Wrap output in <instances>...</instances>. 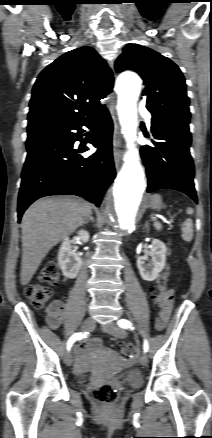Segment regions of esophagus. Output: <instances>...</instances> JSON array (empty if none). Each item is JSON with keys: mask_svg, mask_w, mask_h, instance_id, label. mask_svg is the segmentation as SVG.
Masks as SVG:
<instances>
[{"mask_svg": "<svg viewBox=\"0 0 212 438\" xmlns=\"http://www.w3.org/2000/svg\"><path fill=\"white\" fill-rule=\"evenodd\" d=\"M110 114L112 116L113 122H114V134H113V140H114V149H113V157L115 162L116 169L120 166L121 156L122 153L117 145V140L119 137V127L116 119V112H115V105L114 102L109 107Z\"/></svg>", "mask_w": 212, "mask_h": 438, "instance_id": "1", "label": "esophagus"}]
</instances>
